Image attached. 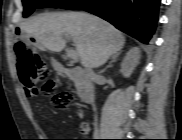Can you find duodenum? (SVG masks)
Returning a JSON list of instances; mask_svg holds the SVG:
<instances>
[{
  "instance_id": "410a0bca",
  "label": "duodenum",
  "mask_w": 182,
  "mask_h": 140,
  "mask_svg": "<svg viewBox=\"0 0 182 140\" xmlns=\"http://www.w3.org/2000/svg\"><path fill=\"white\" fill-rule=\"evenodd\" d=\"M56 67L58 69H63V65L60 63H58ZM69 74L71 78L79 84V99L84 103H89L93 98V89L90 86L87 75L83 71L77 69H70Z\"/></svg>"
}]
</instances>
